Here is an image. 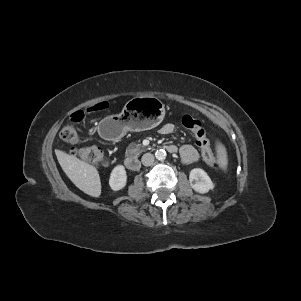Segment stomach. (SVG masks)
I'll return each mask as SVG.
<instances>
[{
    "label": "stomach",
    "instance_id": "1",
    "mask_svg": "<svg viewBox=\"0 0 301 301\" xmlns=\"http://www.w3.org/2000/svg\"><path fill=\"white\" fill-rule=\"evenodd\" d=\"M163 108L155 97H135L125 104L120 114L103 119L99 129L107 140L117 141L128 131H144L159 125L165 114Z\"/></svg>",
    "mask_w": 301,
    "mask_h": 301
}]
</instances>
